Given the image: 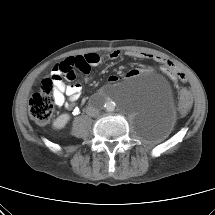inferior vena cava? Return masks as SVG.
I'll return each instance as SVG.
<instances>
[{"mask_svg":"<svg viewBox=\"0 0 215 215\" xmlns=\"http://www.w3.org/2000/svg\"><path fill=\"white\" fill-rule=\"evenodd\" d=\"M86 114L91 116V117H96L99 114V109L93 107V106H88L86 108Z\"/></svg>","mask_w":215,"mask_h":215,"instance_id":"obj_1","label":"inferior vena cava"}]
</instances>
